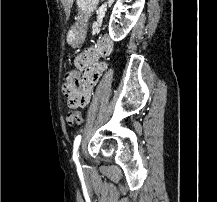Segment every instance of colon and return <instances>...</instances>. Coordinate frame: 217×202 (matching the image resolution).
<instances>
[{"mask_svg":"<svg viewBox=\"0 0 217 202\" xmlns=\"http://www.w3.org/2000/svg\"><path fill=\"white\" fill-rule=\"evenodd\" d=\"M98 71V68H95L93 72L96 74ZM81 74L76 71H69L66 76V83L62 87V92L64 96L67 99L69 107L72 105L75 107L76 105H79V102H87L90 96H81L84 95V90H77L79 87V82L81 80ZM75 124H82L83 123V117L80 113V111H75ZM69 116H67L68 122H69Z\"/></svg>","mask_w":217,"mask_h":202,"instance_id":"colon-1","label":"colon"}]
</instances>
